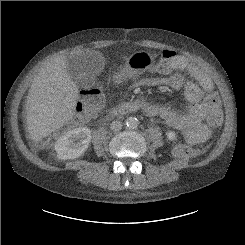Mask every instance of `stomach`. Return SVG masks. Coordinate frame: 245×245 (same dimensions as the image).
Listing matches in <instances>:
<instances>
[{
  "mask_svg": "<svg viewBox=\"0 0 245 245\" xmlns=\"http://www.w3.org/2000/svg\"><path fill=\"white\" fill-rule=\"evenodd\" d=\"M154 63V56L149 52L141 51L131 55L126 60L124 68L116 75L118 82L132 78L148 70Z\"/></svg>",
  "mask_w": 245,
  "mask_h": 245,
  "instance_id": "0dacf381",
  "label": "stomach"
}]
</instances>
